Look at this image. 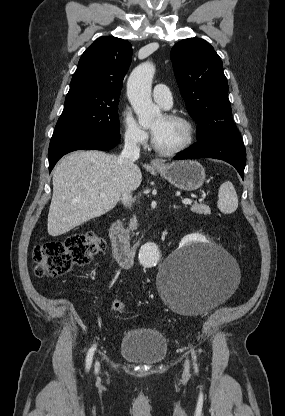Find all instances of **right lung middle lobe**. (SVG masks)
Returning a JSON list of instances; mask_svg holds the SVG:
<instances>
[{"label": "right lung middle lobe", "instance_id": "dd1d6c3e", "mask_svg": "<svg viewBox=\"0 0 285 416\" xmlns=\"http://www.w3.org/2000/svg\"><path fill=\"white\" fill-rule=\"evenodd\" d=\"M119 98L81 99L66 96L55 132L88 131L119 133Z\"/></svg>", "mask_w": 285, "mask_h": 416}]
</instances>
